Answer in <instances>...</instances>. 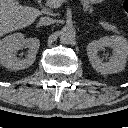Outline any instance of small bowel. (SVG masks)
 I'll return each mask as SVG.
<instances>
[{
  "label": "small bowel",
  "instance_id": "c3829d8e",
  "mask_svg": "<svg viewBox=\"0 0 128 128\" xmlns=\"http://www.w3.org/2000/svg\"><path fill=\"white\" fill-rule=\"evenodd\" d=\"M90 2H92V3H101V2H103L104 0H89Z\"/></svg>",
  "mask_w": 128,
  "mask_h": 128
}]
</instances>
